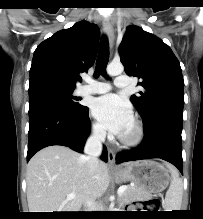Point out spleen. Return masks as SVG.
<instances>
[{
	"mask_svg": "<svg viewBox=\"0 0 203 219\" xmlns=\"http://www.w3.org/2000/svg\"><path fill=\"white\" fill-rule=\"evenodd\" d=\"M171 173V183L165 197L166 211L180 210L183 195L182 180L178 171L170 164H165Z\"/></svg>",
	"mask_w": 203,
	"mask_h": 219,
	"instance_id": "1",
	"label": "spleen"
}]
</instances>
